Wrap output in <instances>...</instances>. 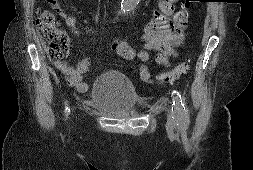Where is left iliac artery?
Returning a JSON list of instances; mask_svg holds the SVG:
<instances>
[{
  "label": "left iliac artery",
  "mask_w": 253,
  "mask_h": 170,
  "mask_svg": "<svg viewBox=\"0 0 253 170\" xmlns=\"http://www.w3.org/2000/svg\"><path fill=\"white\" fill-rule=\"evenodd\" d=\"M172 96H173L172 111L180 117L182 125L184 127H187L189 123L188 111L185 109L184 100L182 99L180 93L176 90L172 92Z\"/></svg>",
  "instance_id": "left-iliac-artery-1"
}]
</instances>
